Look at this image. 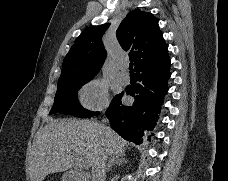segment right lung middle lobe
Instances as JSON below:
<instances>
[{
    "instance_id": "right-lung-middle-lobe-1",
    "label": "right lung middle lobe",
    "mask_w": 228,
    "mask_h": 181,
    "mask_svg": "<svg viewBox=\"0 0 228 181\" xmlns=\"http://www.w3.org/2000/svg\"><path fill=\"white\" fill-rule=\"evenodd\" d=\"M90 80L91 79L81 81H69L58 84V89L50 114L62 112L79 118H90L97 115L99 112H92L84 109L79 104L77 99L78 90L81 88V86H83ZM117 96L113 99V101L117 98Z\"/></svg>"
}]
</instances>
